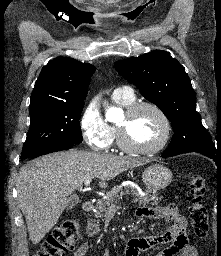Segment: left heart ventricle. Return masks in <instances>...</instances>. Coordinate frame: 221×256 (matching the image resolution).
I'll return each instance as SVG.
<instances>
[{"label":"left heart ventricle","instance_id":"1","mask_svg":"<svg viewBox=\"0 0 221 256\" xmlns=\"http://www.w3.org/2000/svg\"><path fill=\"white\" fill-rule=\"evenodd\" d=\"M118 125L123 127L130 144L142 148L155 145L163 133L162 121L151 109H142L131 118L124 115Z\"/></svg>","mask_w":221,"mask_h":256}]
</instances>
